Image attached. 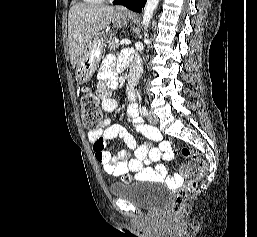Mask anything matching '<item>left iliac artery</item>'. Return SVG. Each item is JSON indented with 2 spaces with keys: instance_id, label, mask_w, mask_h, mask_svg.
I'll list each match as a JSON object with an SVG mask.
<instances>
[{
  "instance_id": "left-iliac-artery-1",
  "label": "left iliac artery",
  "mask_w": 257,
  "mask_h": 237,
  "mask_svg": "<svg viewBox=\"0 0 257 237\" xmlns=\"http://www.w3.org/2000/svg\"><path fill=\"white\" fill-rule=\"evenodd\" d=\"M142 114L144 115V116H147L148 115V110H147V108L145 107V106H143L142 107Z\"/></svg>"
}]
</instances>
